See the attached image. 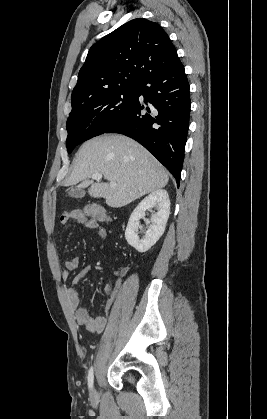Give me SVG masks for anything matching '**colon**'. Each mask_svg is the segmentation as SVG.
Masks as SVG:
<instances>
[{
	"mask_svg": "<svg viewBox=\"0 0 267 419\" xmlns=\"http://www.w3.org/2000/svg\"><path fill=\"white\" fill-rule=\"evenodd\" d=\"M81 212L86 218L95 221L108 222L111 220L109 212L104 207L97 204H88Z\"/></svg>",
	"mask_w": 267,
	"mask_h": 419,
	"instance_id": "obj_1",
	"label": "colon"
}]
</instances>
